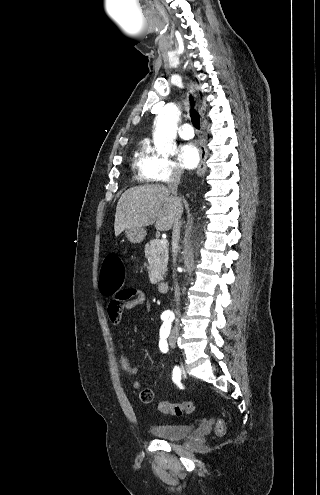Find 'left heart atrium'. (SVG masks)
I'll return each instance as SVG.
<instances>
[{
    "mask_svg": "<svg viewBox=\"0 0 320 495\" xmlns=\"http://www.w3.org/2000/svg\"><path fill=\"white\" fill-rule=\"evenodd\" d=\"M178 156L181 164L187 169L195 168L200 160L198 148L191 143L182 145Z\"/></svg>",
    "mask_w": 320,
    "mask_h": 495,
    "instance_id": "1",
    "label": "left heart atrium"
}]
</instances>
